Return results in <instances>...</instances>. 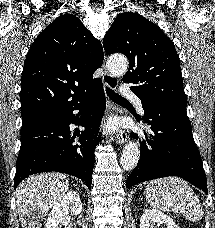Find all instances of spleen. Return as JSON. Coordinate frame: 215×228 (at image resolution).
<instances>
[{
  "instance_id": "3e777b00",
  "label": "spleen",
  "mask_w": 215,
  "mask_h": 228,
  "mask_svg": "<svg viewBox=\"0 0 215 228\" xmlns=\"http://www.w3.org/2000/svg\"><path fill=\"white\" fill-rule=\"evenodd\" d=\"M145 198L156 210L177 212L190 222H199L203 218L202 206L190 188L181 178H160L152 180L145 188Z\"/></svg>"
}]
</instances>
